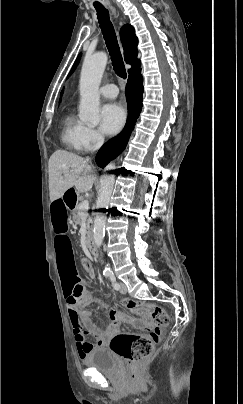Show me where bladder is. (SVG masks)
I'll list each match as a JSON object with an SVG mask.
<instances>
[{"mask_svg":"<svg viewBox=\"0 0 243 404\" xmlns=\"http://www.w3.org/2000/svg\"><path fill=\"white\" fill-rule=\"evenodd\" d=\"M82 361L85 366L105 374H114L119 371V363L114 353L106 347L93 348Z\"/></svg>","mask_w":243,"mask_h":404,"instance_id":"bladder-1","label":"bladder"}]
</instances>
